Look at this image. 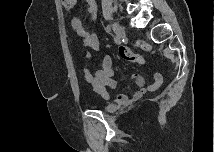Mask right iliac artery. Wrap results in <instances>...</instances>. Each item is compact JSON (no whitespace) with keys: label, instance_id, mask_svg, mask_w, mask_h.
<instances>
[{"label":"right iliac artery","instance_id":"82829eb1","mask_svg":"<svg viewBox=\"0 0 215 152\" xmlns=\"http://www.w3.org/2000/svg\"><path fill=\"white\" fill-rule=\"evenodd\" d=\"M116 43H120V40L117 36L114 37Z\"/></svg>","mask_w":215,"mask_h":152}]
</instances>
